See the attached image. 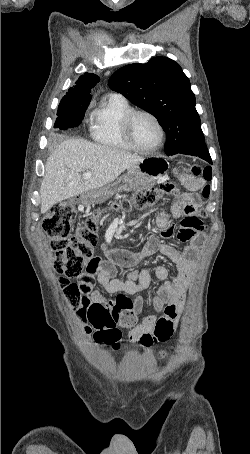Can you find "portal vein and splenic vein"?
<instances>
[{"label": "portal vein and splenic vein", "mask_w": 250, "mask_h": 454, "mask_svg": "<svg viewBox=\"0 0 250 454\" xmlns=\"http://www.w3.org/2000/svg\"><path fill=\"white\" fill-rule=\"evenodd\" d=\"M91 176H92V173L90 171H88V172L84 173L82 177H83V179H89V178H91Z\"/></svg>", "instance_id": "obj_1"}]
</instances>
